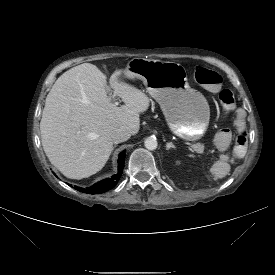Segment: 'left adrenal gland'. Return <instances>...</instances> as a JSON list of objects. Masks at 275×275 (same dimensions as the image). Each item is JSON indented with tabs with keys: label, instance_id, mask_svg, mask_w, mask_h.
I'll return each instance as SVG.
<instances>
[{
	"label": "left adrenal gland",
	"instance_id": "1",
	"mask_svg": "<svg viewBox=\"0 0 275 275\" xmlns=\"http://www.w3.org/2000/svg\"><path fill=\"white\" fill-rule=\"evenodd\" d=\"M166 147H167L166 148L167 150L170 149V148H176L175 145L173 143H171V142L167 143Z\"/></svg>",
	"mask_w": 275,
	"mask_h": 275
}]
</instances>
